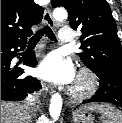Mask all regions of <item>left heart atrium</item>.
<instances>
[{
  "instance_id": "39dd6f15",
  "label": "left heart atrium",
  "mask_w": 122,
  "mask_h": 123,
  "mask_svg": "<svg viewBox=\"0 0 122 123\" xmlns=\"http://www.w3.org/2000/svg\"><path fill=\"white\" fill-rule=\"evenodd\" d=\"M37 72L42 79L56 84H71L75 79L72 64L58 53L48 54L41 61Z\"/></svg>"
}]
</instances>
